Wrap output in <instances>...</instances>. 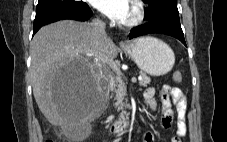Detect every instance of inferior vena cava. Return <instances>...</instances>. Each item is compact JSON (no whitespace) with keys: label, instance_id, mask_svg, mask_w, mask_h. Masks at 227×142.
Here are the masks:
<instances>
[{"label":"inferior vena cava","instance_id":"obj_1","mask_svg":"<svg viewBox=\"0 0 227 142\" xmlns=\"http://www.w3.org/2000/svg\"><path fill=\"white\" fill-rule=\"evenodd\" d=\"M89 25L92 29L94 38L99 39L107 36L105 32V23L100 18L92 20Z\"/></svg>","mask_w":227,"mask_h":142}]
</instances>
